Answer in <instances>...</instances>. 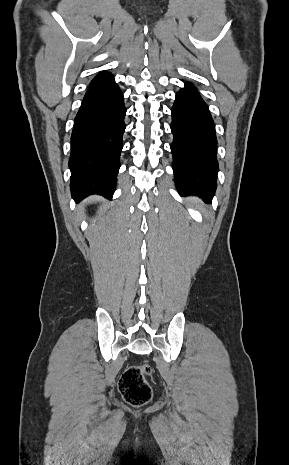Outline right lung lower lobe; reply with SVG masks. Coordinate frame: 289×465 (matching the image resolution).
<instances>
[{
	"mask_svg": "<svg viewBox=\"0 0 289 465\" xmlns=\"http://www.w3.org/2000/svg\"><path fill=\"white\" fill-rule=\"evenodd\" d=\"M125 114L124 98L114 79L91 86L85 94L71 135L70 188L76 202L92 194L113 196Z\"/></svg>",
	"mask_w": 289,
	"mask_h": 465,
	"instance_id": "obj_1",
	"label": "right lung lower lobe"
}]
</instances>
